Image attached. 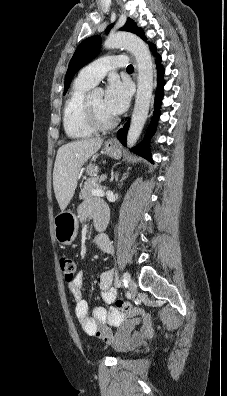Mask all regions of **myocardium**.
I'll return each mask as SVG.
<instances>
[{
  "label": "myocardium",
  "instance_id": "obj_1",
  "mask_svg": "<svg viewBox=\"0 0 227 396\" xmlns=\"http://www.w3.org/2000/svg\"><path fill=\"white\" fill-rule=\"evenodd\" d=\"M84 112L89 125L95 130H107L114 127L117 123L116 118L104 120L102 119L95 109L93 108L90 100L87 98L84 102Z\"/></svg>",
  "mask_w": 227,
  "mask_h": 396
}]
</instances>
